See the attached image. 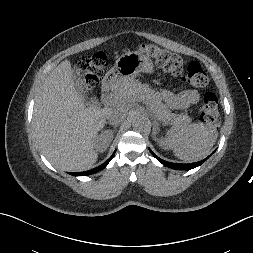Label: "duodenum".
Returning <instances> with one entry per match:
<instances>
[{
  "label": "duodenum",
  "instance_id": "410a0bca",
  "mask_svg": "<svg viewBox=\"0 0 253 253\" xmlns=\"http://www.w3.org/2000/svg\"><path fill=\"white\" fill-rule=\"evenodd\" d=\"M114 96V79L108 78L104 81L102 87L101 100L105 106H111Z\"/></svg>",
  "mask_w": 253,
  "mask_h": 253
}]
</instances>
